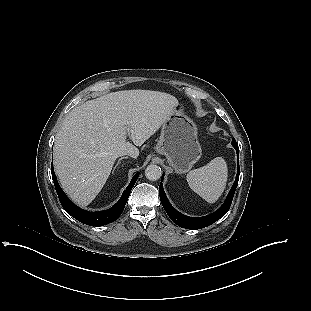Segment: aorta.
<instances>
[{
	"label": "aorta",
	"instance_id": "aorta-1",
	"mask_svg": "<svg viewBox=\"0 0 311 311\" xmlns=\"http://www.w3.org/2000/svg\"><path fill=\"white\" fill-rule=\"evenodd\" d=\"M161 175H162V171H161L160 166L158 165L150 164L145 169V176L150 181H156L160 179Z\"/></svg>",
	"mask_w": 311,
	"mask_h": 311
}]
</instances>
